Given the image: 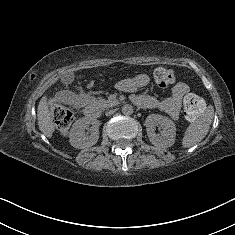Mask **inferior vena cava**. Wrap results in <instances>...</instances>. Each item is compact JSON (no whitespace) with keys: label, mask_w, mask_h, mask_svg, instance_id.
Masks as SVG:
<instances>
[{"label":"inferior vena cava","mask_w":235,"mask_h":235,"mask_svg":"<svg viewBox=\"0 0 235 235\" xmlns=\"http://www.w3.org/2000/svg\"><path fill=\"white\" fill-rule=\"evenodd\" d=\"M112 113H113V111H112V110H111V111H107V112H106V114H107V115H111Z\"/></svg>","instance_id":"obj_1"}]
</instances>
